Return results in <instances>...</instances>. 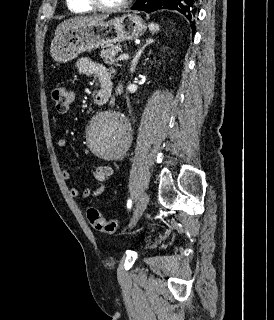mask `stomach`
Masks as SVG:
<instances>
[{
  "mask_svg": "<svg viewBox=\"0 0 274 320\" xmlns=\"http://www.w3.org/2000/svg\"><path fill=\"white\" fill-rule=\"evenodd\" d=\"M146 32L140 16L136 14H123L108 22L97 24H84L65 28L56 34L50 48L51 58L54 62H70L83 52H92L100 46H114L125 40H136Z\"/></svg>",
  "mask_w": 274,
  "mask_h": 320,
  "instance_id": "0dacf381",
  "label": "stomach"
}]
</instances>
